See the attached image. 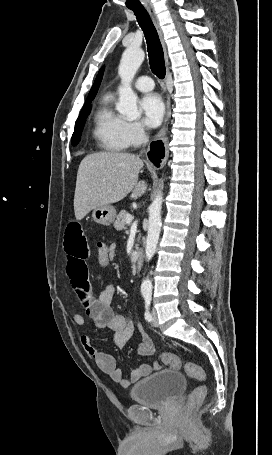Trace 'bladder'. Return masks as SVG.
Returning a JSON list of instances; mask_svg holds the SVG:
<instances>
[{"mask_svg":"<svg viewBox=\"0 0 272 455\" xmlns=\"http://www.w3.org/2000/svg\"><path fill=\"white\" fill-rule=\"evenodd\" d=\"M183 374L174 370H161L136 383L130 390L134 402L150 407H164L185 388Z\"/></svg>","mask_w":272,"mask_h":455,"instance_id":"1","label":"bladder"}]
</instances>
